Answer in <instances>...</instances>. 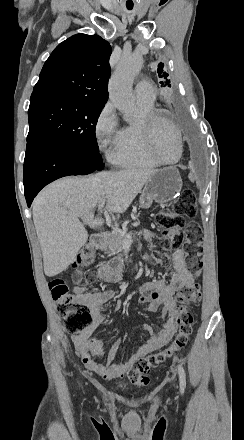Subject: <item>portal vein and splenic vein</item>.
<instances>
[{
	"label": "portal vein and splenic vein",
	"instance_id": "obj_1",
	"mask_svg": "<svg viewBox=\"0 0 244 440\" xmlns=\"http://www.w3.org/2000/svg\"><path fill=\"white\" fill-rule=\"evenodd\" d=\"M105 200H100L98 208H104Z\"/></svg>",
	"mask_w": 244,
	"mask_h": 440
}]
</instances>
